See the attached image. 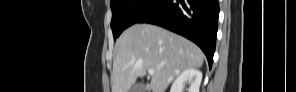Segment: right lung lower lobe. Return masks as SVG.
Returning a JSON list of instances; mask_svg holds the SVG:
<instances>
[{
  "label": "right lung lower lobe",
  "mask_w": 296,
  "mask_h": 92,
  "mask_svg": "<svg viewBox=\"0 0 296 92\" xmlns=\"http://www.w3.org/2000/svg\"><path fill=\"white\" fill-rule=\"evenodd\" d=\"M218 0H160L136 23H150L195 42L212 65L216 46Z\"/></svg>",
  "instance_id": "1"
}]
</instances>
